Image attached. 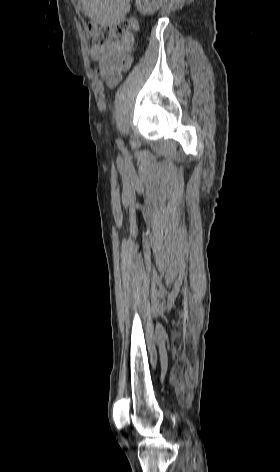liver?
I'll return each mask as SVG.
<instances>
[{
  "mask_svg": "<svg viewBox=\"0 0 280 472\" xmlns=\"http://www.w3.org/2000/svg\"><path fill=\"white\" fill-rule=\"evenodd\" d=\"M131 0H78L85 15L102 27L116 25L125 19Z\"/></svg>",
  "mask_w": 280,
  "mask_h": 472,
  "instance_id": "6515ba94",
  "label": "liver"
}]
</instances>
